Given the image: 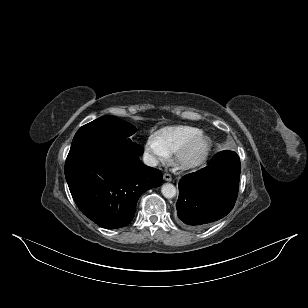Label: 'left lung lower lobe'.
<instances>
[{
	"label": "left lung lower lobe",
	"mask_w": 308,
	"mask_h": 308,
	"mask_svg": "<svg viewBox=\"0 0 308 308\" xmlns=\"http://www.w3.org/2000/svg\"><path fill=\"white\" fill-rule=\"evenodd\" d=\"M240 179V159L221 151L205 168L185 175L179 182L176 203L178 222L201 229L226 216L234 207Z\"/></svg>",
	"instance_id": "1"
}]
</instances>
